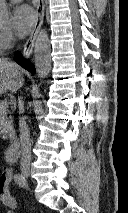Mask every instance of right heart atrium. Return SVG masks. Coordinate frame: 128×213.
<instances>
[{
  "mask_svg": "<svg viewBox=\"0 0 128 213\" xmlns=\"http://www.w3.org/2000/svg\"><path fill=\"white\" fill-rule=\"evenodd\" d=\"M13 34L7 30H0V53L7 50L14 44Z\"/></svg>",
  "mask_w": 128,
  "mask_h": 213,
  "instance_id": "d8ad5b80",
  "label": "right heart atrium"
}]
</instances>
